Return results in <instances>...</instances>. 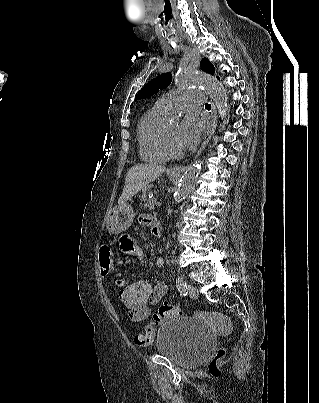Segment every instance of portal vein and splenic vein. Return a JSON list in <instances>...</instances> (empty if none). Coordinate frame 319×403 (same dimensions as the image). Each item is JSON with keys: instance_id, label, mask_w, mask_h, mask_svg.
Segmentation results:
<instances>
[{"instance_id": "18ae733b", "label": "portal vein and splenic vein", "mask_w": 319, "mask_h": 403, "mask_svg": "<svg viewBox=\"0 0 319 403\" xmlns=\"http://www.w3.org/2000/svg\"><path fill=\"white\" fill-rule=\"evenodd\" d=\"M161 205H162V203H161V202H159V201H158V202H156V206H157V207H160Z\"/></svg>"}]
</instances>
